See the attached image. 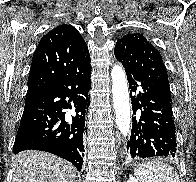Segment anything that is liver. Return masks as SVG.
<instances>
[{
	"mask_svg": "<svg viewBox=\"0 0 196 182\" xmlns=\"http://www.w3.org/2000/svg\"><path fill=\"white\" fill-rule=\"evenodd\" d=\"M76 169L50 153L27 150L14 158L12 182H74Z\"/></svg>",
	"mask_w": 196,
	"mask_h": 182,
	"instance_id": "6515ba94",
	"label": "liver"
}]
</instances>
